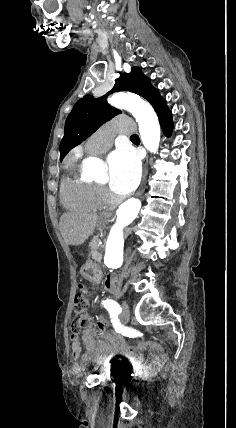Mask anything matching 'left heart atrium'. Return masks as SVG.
I'll return each instance as SVG.
<instances>
[{
    "instance_id": "obj_1",
    "label": "left heart atrium",
    "mask_w": 236,
    "mask_h": 428,
    "mask_svg": "<svg viewBox=\"0 0 236 428\" xmlns=\"http://www.w3.org/2000/svg\"><path fill=\"white\" fill-rule=\"evenodd\" d=\"M109 186L117 194H128L138 185L141 166L138 157L129 148H118L108 158Z\"/></svg>"
}]
</instances>
